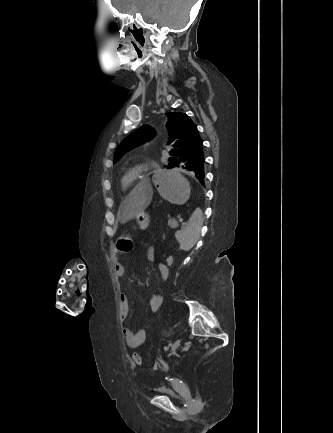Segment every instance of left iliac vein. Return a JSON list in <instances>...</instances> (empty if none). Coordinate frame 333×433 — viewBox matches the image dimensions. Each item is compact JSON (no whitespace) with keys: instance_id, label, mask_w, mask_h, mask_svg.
<instances>
[{"instance_id":"4c4485c4","label":"left iliac vein","mask_w":333,"mask_h":433,"mask_svg":"<svg viewBox=\"0 0 333 433\" xmlns=\"http://www.w3.org/2000/svg\"><path fill=\"white\" fill-rule=\"evenodd\" d=\"M180 342H181L180 339H178L173 343L171 347V353H174L179 348Z\"/></svg>"}]
</instances>
